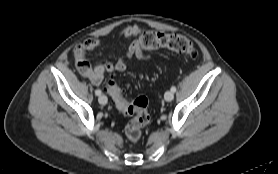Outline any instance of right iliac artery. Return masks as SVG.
<instances>
[{"mask_svg":"<svg viewBox=\"0 0 278 174\" xmlns=\"http://www.w3.org/2000/svg\"><path fill=\"white\" fill-rule=\"evenodd\" d=\"M101 90H99V89H97L96 91H95V94L97 95V96H99V95H101Z\"/></svg>","mask_w":278,"mask_h":174,"instance_id":"obj_1","label":"right iliac artery"}]
</instances>
